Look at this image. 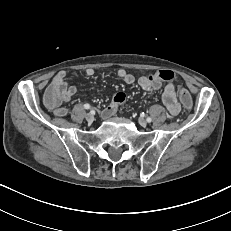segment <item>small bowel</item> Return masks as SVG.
Returning <instances> with one entry per match:
<instances>
[{"label": "small bowel", "mask_w": 231, "mask_h": 231, "mask_svg": "<svg viewBox=\"0 0 231 231\" xmlns=\"http://www.w3.org/2000/svg\"><path fill=\"white\" fill-rule=\"evenodd\" d=\"M84 73L87 77H92L95 71L92 68H87ZM117 77L126 84H133L137 81L138 85L146 91L158 90L161 88V81L155 77V73H145L136 79V77L127 70L119 69L117 71ZM51 84L58 85L59 92L55 95L56 104L52 105L50 109L57 116H65L67 114V109L62 106V102H70L77 92V87L68 83L66 71L58 72L54 76ZM162 101L172 116H176L180 112L181 105L176 94L174 83L170 82L164 87ZM117 108V106L111 103L103 110L102 115L104 117H110L115 114Z\"/></svg>", "instance_id": "obj_1"}]
</instances>
